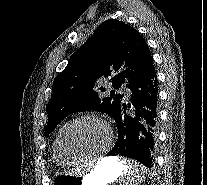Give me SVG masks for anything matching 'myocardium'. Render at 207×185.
Masks as SVG:
<instances>
[{
    "instance_id": "myocardium-1",
    "label": "myocardium",
    "mask_w": 207,
    "mask_h": 185,
    "mask_svg": "<svg viewBox=\"0 0 207 185\" xmlns=\"http://www.w3.org/2000/svg\"><path fill=\"white\" fill-rule=\"evenodd\" d=\"M85 120H97L100 121L102 123H104L110 132V136H111V140H113L116 136V132L115 129L113 127V125L107 121L106 119H104L103 117L97 116V115H93V114H86V115H82L78 118H75L74 120H72L66 127L63 136H62V145H63V149L64 151L73 159H78V160H83V159H91V158H100L104 156L105 150L96 152V153H77L75 152L71 145H70V134L73 130V128L80 122L85 121Z\"/></svg>"
}]
</instances>
